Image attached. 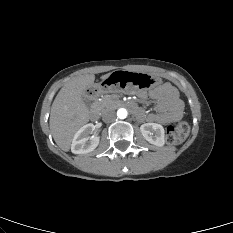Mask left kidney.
<instances>
[{"label": "left kidney", "mask_w": 233, "mask_h": 233, "mask_svg": "<svg viewBox=\"0 0 233 233\" xmlns=\"http://www.w3.org/2000/svg\"><path fill=\"white\" fill-rule=\"evenodd\" d=\"M143 137L151 144L156 146H163L164 140V128L157 123H145L140 127Z\"/></svg>", "instance_id": "5707ae66"}]
</instances>
